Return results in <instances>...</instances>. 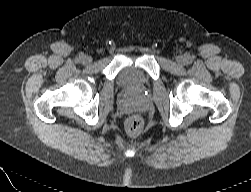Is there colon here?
Segmentation results:
<instances>
[{
  "label": "colon",
  "mask_w": 251,
  "mask_h": 192,
  "mask_svg": "<svg viewBox=\"0 0 251 192\" xmlns=\"http://www.w3.org/2000/svg\"><path fill=\"white\" fill-rule=\"evenodd\" d=\"M126 132L131 136L138 135L143 129V121L139 116L133 115L125 122Z\"/></svg>",
  "instance_id": "obj_1"
}]
</instances>
